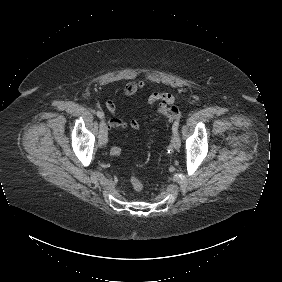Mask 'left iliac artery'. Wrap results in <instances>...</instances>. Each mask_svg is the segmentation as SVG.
<instances>
[{
    "label": "left iliac artery",
    "mask_w": 282,
    "mask_h": 282,
    "mask_svg": "<svg viewBox=\"0 0 282 282\" xmlns=\"http://www.w3.org/2000/svg\"><path fill=\"white\" fill-rule=\"evenodd\" d=\"M179 124H180V119H177V120L174 122L173 126H172V131H173V133L178 132Z\"/></svg>",
    "instance_id": "44dca946"
}]
</instances>
